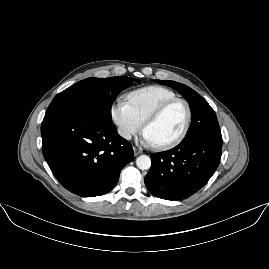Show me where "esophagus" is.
Returning <instances> with one entry per match:
<instances>
[{
    "instance_id": "esophagus-1",
    "label": "esophagus",
    "mask_w": 269,
    "mask_h": 269,
    "mask_svg": "<svg viewBox=\"0 0 269 269\" xmlns=\"http://www.w3.org/2000/svg\"><path fill=\"white\" fill-rule=\"evenodd\" d=\"M141 154V151H139L138 149L134 148V155L137 156Z\"/></svg>"
}]
</instances>
